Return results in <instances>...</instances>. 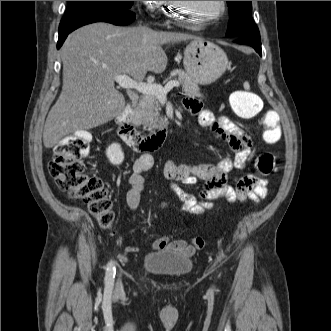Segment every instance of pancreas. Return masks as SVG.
<instances>
[{
    "label": "pancreas",
    "instance_id": "pancreas-1",
    "mask_svg": "<svg viewBox=\"0 0 331 331\" xmlns=\"http://www.w3.org/2000/svg\"><path fill=\"white\" fill-rule=\"evenodd\" d=\"M173 75L178 76V81L182 85L183 91L187 96L199 97L203 95L200 93L198 84L194 82L191 77L182 70H175ZM171 80L166 79L164 83ZM160 104L158 98L152 94H143L141 99L134 109V115L132 118V123L135 125H143V127L149 131H153L162 126V118L160 116Z\"/></svg>",
    "mask_w": 331,
    "mask_h": 331
}]
</instances>
